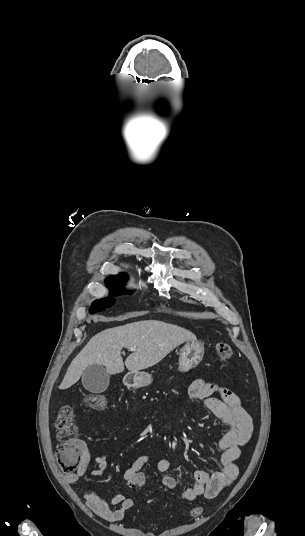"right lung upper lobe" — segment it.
<instances>
[{
    "label": "right lung upper lobe",
    "instance_id": "1",
    "mask_svg": "<svg viewBox=\"0 0 305 536\" xmlns=\"http://www.w3.org/2000/svg\"><path fill=\"white\" fill-rule=\"evenodd\" d=\"M126 277L124 275H117V276H110L106 279V281L111 282H125Z\"/></svg>",
    "mask_w": 305,
    "mask_h": 536
}]
</instances>
